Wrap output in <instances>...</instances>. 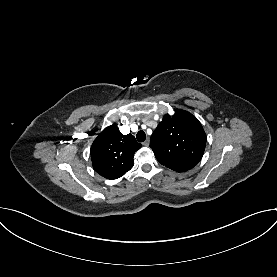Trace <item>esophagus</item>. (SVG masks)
I'll return each instance as SVG.
<instances>
[{
    "label": "esophagus",
    "mask_w": 277,
    "mask_h": 277,
    "mask_svg": "<svg viewBox=\"0 0 277 277\" xmlns=\"http://www.w3.org/2000/svg\"><path fill=\"white\" fill-rule=\"evenodd\" d=\"M149 143H150L149 139H146V140L142 143V145H143L144 147H148V146H149Z\"/></svg>",
    "instance_id": "1"
}]
</instances>
